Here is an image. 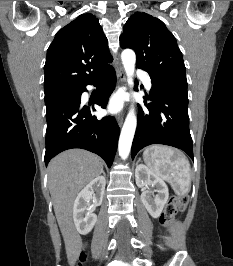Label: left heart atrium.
<instances>
[{
	"instance_id": "39dd6f15",
	"label": "left heart atrium",
	"mask_w": 233,
	"mask_h": 266,
	"mask_svg": "<svg viewBox=\"0 0 233 266\" xmlns=\"http://www.w3.org/2000/svg\"><path fill=\"white\" fill-rule=\"evenodd\" d=\"M124 104V97L121 94L113 95L108 103V112L115 114L121 111Z\"/></svg>"
}]
</instances>
